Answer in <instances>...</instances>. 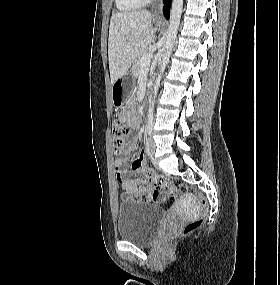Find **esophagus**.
Returning <instances> with one entry per match:
<instances>
[{"label": "esophagus", "mask_w": 280, "mask_h": 285, "mask_svg": "<svg viewBox=\"0 0 280 285\" xmlns=\"http://www.w3.org/2000/svg\"><path fill=\"white\" fill-rule=\"evenodd\" d=\"M162 5L163 0H157L152 8L154 15L159 19H162Z\"/></svg>", "instance_id": "34e87169"}]
</instances>
